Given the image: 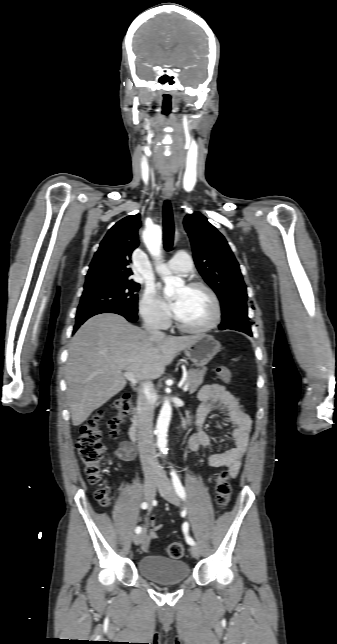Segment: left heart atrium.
<instances>
[{"mask_svg":"<svg viewBox=\"0 0 337 644\" xmlns=\"http://www.w3.org/2000/svg\"><path fill=\"white\" fill-rule=\"evenodd\" d=\"M179 305H180V298H176L168 304V308L173 314H175L179 308Z\"/></svg>","mask_w":337,"mask_h":644,"instance_id":"obj_1","label":"left heart atrium"}]
</instances>
